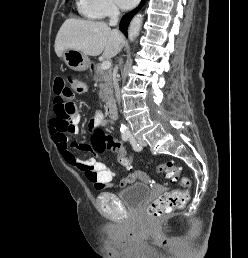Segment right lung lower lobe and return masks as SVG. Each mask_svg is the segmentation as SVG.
<instances>
[{
  "mask_svg": "<svg viewBox=\"0 0 248 258\" xmlns=\"http://www.w3.org/2000/svg\"><path fill=\"white\" fill-rule=\"evenodd\" d=\"M145 0H142L141 4L139 5V7L129 13H126L119 25L120 30L122 31V33L124 35H127V27L132 19V17L134 16V14L140 9V7L144 4Z\"/></svg>",
  "mask_w": 248,
  "mask_h": 258,
  "instance_id": "1",
  "label": "right lung lower lobe"
}]
</instances>
